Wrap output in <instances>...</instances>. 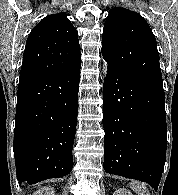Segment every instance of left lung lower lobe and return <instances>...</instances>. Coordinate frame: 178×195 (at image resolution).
Segmentation results:
<instances>
[{
	"mask_svg": "<svg viewBox=\"0 0 178 195\" xmlns=\"http://www.w3.org/2000/svg\"><path fill=\"white\" fill-rule=\"evenodd\" d=\"M108 64L103 84V168L147 182L157 191L166 160L163 86Z\"/></svg>",
	"mask_w": 178,
	"mask_h": 195,
	"instance_id": "obj_1",
	"label": "left lung lower lobe"
}]
</instances>
